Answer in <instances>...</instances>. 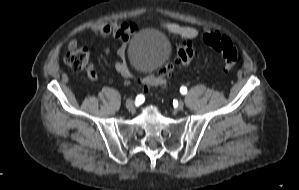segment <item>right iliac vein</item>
<instances>
[{"instance_id": "right-iliac-vein-1", "label": "right iliac vein", "mask_w": 299, "mask_h": 190, "mask_svg": "<svg viewBox=\"0 0 299 190\" xmlns=\"http://www.w3.org/2000/svg\"><path fill=\"white\" fill-rule=\"evenodd\" d=\"M126 107L130 110H132L134 108V103L131 99H128L125 103Z\"/></svg>"}]
</instances>
